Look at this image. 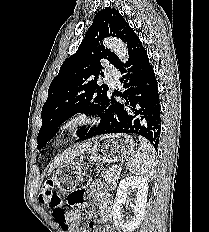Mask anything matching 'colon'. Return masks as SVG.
Wrapping results in <instances>:
<instances>
[{
	"label": "colon",
	"mask_w": 209,
	"mask_h": 232,
	"mask_svg": "<svg viewBox=\"0 0 209 232\" xmlns=\"http://www.w3.org/2000/svg\"><path fill=\"white\" fill-rule=\"evenodd\" d=\"M40 201L51 210L54 220L59 223L61 227L66 228L67 222L65 218V210L62 205V199L52 180H46L44 182L40 193Z\"/></svg>",
	"instance_id": "1"
}]
</instances>
